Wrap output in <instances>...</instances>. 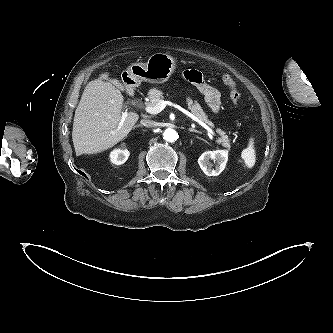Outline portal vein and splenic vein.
Listing matches in <instances>:
<instances>
[{"instance_id": "obj_1", "label": "portal vein and splenic vein", "mask_w": 333, "mask_h": 333, "mask_svg": "<svg viewBox=\"0 0 333 333\" xmlns=\"http://www.w3.org/2000/svg\"><path fill=\"white\" fill-rule=\"evenodd\" d=\"M172 106L178 110H180L181 112H183L185 115H187L188 117H190L192 120H194L195 122H197L199 125H201L203 128H205L210 134L216 136L215 132L208 126L206 125L203 121H201L198 117H196L193 113L189 112L188 110L184 109L183 107H181L180 105L173 103L171 101H165V100H160L159 103L156 106H146L145 110L146 112L150 113V114H158L160 113L166 106ZM127 114L124 113L122 115V119L121 122L119 123V129L122 127L123 122L126 118Z\"/></svg>"}]
</instances>
